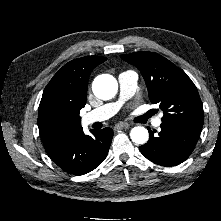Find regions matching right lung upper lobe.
<instances>
[{
  "instance_id": "right-lung-upper-lobe-1",
  "label": "right lung upper lobe",
  "mask_w": 221,
  "mask_h": 221,
  "mask_svg": "<svg viewBox=\"0 0 221 221\" xmlns=\"http://www.w3.org/2000/svg\"><path fill=\"white\" fill-rule=\"evenodd\" d=\"M105 57L86 56L65 64L46 86L38 111V127L47 152L80 131V109L86 104L91 71Z\"/></svg>"
}]
</instances>
